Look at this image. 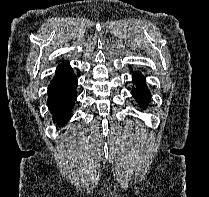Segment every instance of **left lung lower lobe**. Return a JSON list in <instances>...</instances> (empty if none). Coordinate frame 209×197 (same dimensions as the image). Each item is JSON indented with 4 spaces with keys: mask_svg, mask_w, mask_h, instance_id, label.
Here are the masks:
<instances>
[{
    "mask_svg": "<svg viewBox=\"0 0 209 197\" xmlns=\"http://www.w3.org/2000/svg\"><path fill=\"white\" fill-rule=\"evenodd\" d=\"M132 80L133 84L136 85V87H133L132 89V95L137 100L139 105L145 109L151 98L145 78L140 72H135L132 76Z\"/></svg>",
    "mask_w": 209,
    "mask_h": 197,
    "instance_id": "obj_1",
    "label": "left lung lower lobe"
}]
</instances>
